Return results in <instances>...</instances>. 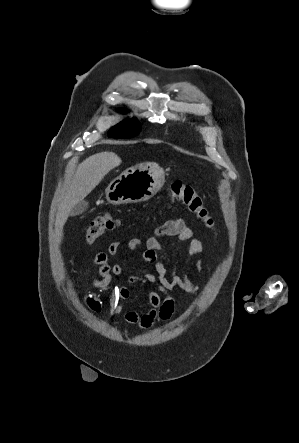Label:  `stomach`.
Returning <instances> with one entry per match:
<instances>
[{
    "label": "stomach",
    "mask_w": 299,
    "mask_h": 443,
    "mask_svg": "<svg viewBox=\"0 0 299 443\" xmlns=\"http://www.w3.org/2000/svg\"><path fill=\"white\" fill-rule=\"evenodd\" d=\"M165 172L155 163L133 166L110 182L106 188L108 202L130 204L152 198L164 185Z\"/></svg>",
    "instance_id": "1"
}]
</instances>
